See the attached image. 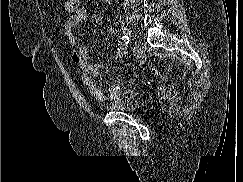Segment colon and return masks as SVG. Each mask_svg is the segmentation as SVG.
<instances>
[{
	"instance_id": "1",
	"label": "colon",
	"mask_w": 243,
	"mask_h": 182,
	"mask_svg": "<svg viewBox=\"0 0 243 182\" xmlns=\"http://www.w3.org/2000/svg\"><path fill=\"white\" fill-rule=\"evenodd\" d=\"M79 9V0H64V10L67 13L74 14ZM157 70L153 69V73H156Z\"/></svg>"
}]
</instances>
